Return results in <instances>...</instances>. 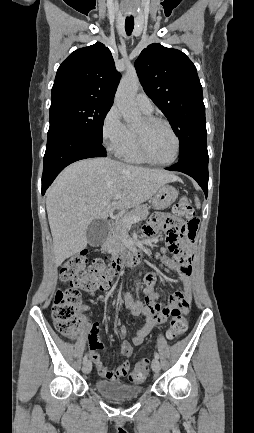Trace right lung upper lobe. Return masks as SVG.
<instances>
[{"instance_id":"1","label":"right lung upper lobe","mask_w":254,"mask_h":433,"mask_svg":"<svg viewBox=\"0 0 254 433\" xmlns=\"http://www.w3.org/2000/svg\"><path fill=\"white\" fill-rule=\"evenodd\" d=\"M108 47L97 42L72 52L57 70L51 105L66 100L113 104L120 81Z\"/></svg>"}]
</instances>
